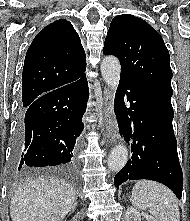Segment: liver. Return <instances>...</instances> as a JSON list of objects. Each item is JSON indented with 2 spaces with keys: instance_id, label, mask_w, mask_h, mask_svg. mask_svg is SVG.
<instances>
[{
  "instance_id": "1",
  "label": "liver",
  "mask_w": 190,
  "mask_h": 221,
  "mask_svg": "<svg viewBox=\"0 0 190 221\" xmlns=\"http://www.w3.org/2000/svg\"><path fill=\"white\" fill-rule=\"evenodd\" d=\"M76 199L74 187L59 178L28 179L14 190L12 221H62Z\"/></svg>"
}]
</instances>
